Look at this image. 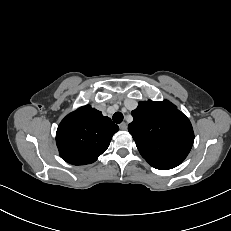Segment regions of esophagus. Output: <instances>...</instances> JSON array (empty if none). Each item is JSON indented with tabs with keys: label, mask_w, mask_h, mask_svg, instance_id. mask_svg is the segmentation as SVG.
<instances>
[{
	"label": "esophagus",
	"mask_w": 231,
	"mask_h": 231,
	"mask_svg": "<svg viewBox=\"0 0 231 231\" xmlns=\"http://www.w3.org/2000/svg\"><path fill=\"white\" fill-rule=\"evenodd\" d=\"M119 128L121 130H126L127 129V124L125 122H122L120 125H119Z\"/></svg>",
	"instance_id": "34e87169"
}]
</instances>
